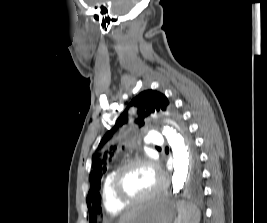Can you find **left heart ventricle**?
<instances>
[{
	"mask_svg": "<svg viewBox=\"0 0 267 223\" xmlns=\"http://www.w3.org/2000/svg\"><path fill=\"white\" fill-rule=\"evenodd\" d=\"M158 178L147 165H136L128 169L122 177L120 190L125 198L137 199L151 192Z\"/></svg>",
	"mask_w": 267,
	"mask_h": 223,
	"instance_id": "left-heart-ventricle-1",
	"label": "left heart ventricle"
}]
</instances>
